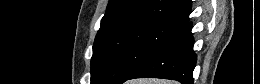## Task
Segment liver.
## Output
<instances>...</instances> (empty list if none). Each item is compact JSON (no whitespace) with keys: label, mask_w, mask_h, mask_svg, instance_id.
I'll return each instance as SVG.
<instances>
[{"label":"liver","mask_w":260,"mask_h":84,"mask_svg":"<svg viewBox=\"0 0 260 84\" xmlns=\"http://www.w3.org/2000/svg\"><path fill=\"white\" fill-rule=\"evenodd\" d=\"M133 84H168V83L167 81L164 80L140 79V80H134Z\"/></svg>","instance_id":"6515ba94"}]
</instances>
